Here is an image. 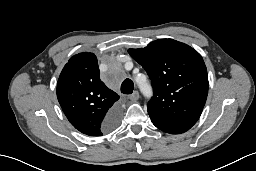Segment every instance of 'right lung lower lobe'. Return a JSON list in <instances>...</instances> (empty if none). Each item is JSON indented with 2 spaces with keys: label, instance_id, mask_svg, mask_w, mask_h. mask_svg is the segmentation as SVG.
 Listing matches in <instances>:
<instances>
[{
  "label": "right lung lower lobe",
  "instance_id": "right-lung-lower-lobe-1",
  "mask_svg": "<svg viewBox=\"0 0 256 171\" xmlns=\"http://www.w3.org/2000/svg\"><path fill=\"white\" fill-rule=\"evenodd\" d=\"M120 110L119 107H114L108 114L104 122V128L109 131L115 128L119 122Z\"/></svg>",
  "mask_w": 256,
  "mask_h": 171
}]
</instances>
